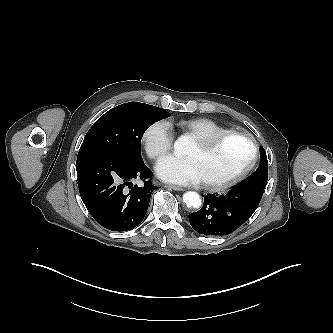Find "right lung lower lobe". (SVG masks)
<instances>
[{
    "instance_id": "1",
    "label": "right lung lower lobe",
    "mask_w": 333,
    "mask_h": 333,
    "mask_svg": "<svg viewBox=\"0 0 333 333\" xmlns=\"http://www.w3.org/2000/svg\"><path fill=\"white\" fill-rule=\"evenodd\" d=\"M76 170L81 198L100 225L127 231L142 222L156 188L143 160L136 162L107 152L83 153L77 157ZM136 178L143 180L142 187L133 186L131 181Z\"/></svg>"
}]
</instances>
